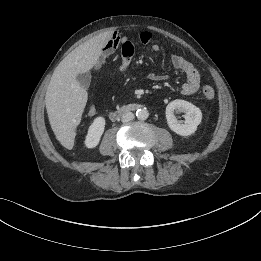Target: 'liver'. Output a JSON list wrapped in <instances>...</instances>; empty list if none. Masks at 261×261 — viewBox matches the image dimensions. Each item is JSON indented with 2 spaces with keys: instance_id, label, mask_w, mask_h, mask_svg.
<instances>
[{
  "instance_id": "6515ba94",
  "label": "liver",
  "mask_w": 261,
  "mask_h": 261,
  "mask_svg": "<svg viewBox=\"0 0 261 261\" xmlns=\"http://www.w3.org/2000/svg\"><path fill=\"white\" fill-rule=\"evenodd\" d=\"M112 35V31L101 33L75 48L58 65L48 85L45 104L49 122L56 139L67 148L73 145L88 99L76 76L94 67Z\"/></svg>"
}]
</instances>
